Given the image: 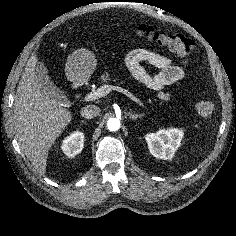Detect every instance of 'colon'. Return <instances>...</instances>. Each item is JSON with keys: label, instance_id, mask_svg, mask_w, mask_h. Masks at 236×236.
I'll return each mask as SVG.
<instances>
[{"label": "colon", "instance_id": "1", "mask_svg": "<svg viewBox=\"0 0 236 236\" xmlns=\"http://www.w3.org/2000/svg\"><path fill=\"white\" fill-rule=\"evenodd\" d=\"M135 32L140 38L168 48L181 56H189L194 51L193 42L181 34L159 31L148 25L137 26ZM196 111L201 118L208 119L214 113V105L210 101L199 100L196 102Z\"/></svg>", "mask_w": 236, "mask_h": 236}]
</instances>
